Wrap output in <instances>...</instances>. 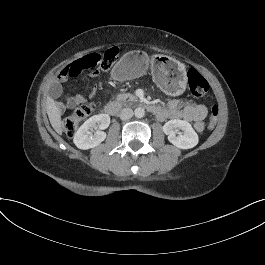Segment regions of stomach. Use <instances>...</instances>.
I'll return each mask as SVG.
<instances>
[{"label":"stomach","instance_id":"obj_1","mask_svg":"<svg viewBox=\"0 0 265 265\" xmlns=\"http://www.w3.org/2000/svg\"><path fill=\"white\" fill-rule=\"evenodd\" d=\"M157 85L167 94L180 95L186 88V68L183 63L167 55H155L150 60L143 51H131L121 57L113 68V77L124 81L135 79L148 68Z\"/></svg>","mask_w":265,"mask_h":265}]
</instances>
